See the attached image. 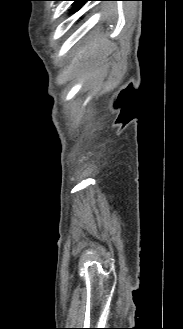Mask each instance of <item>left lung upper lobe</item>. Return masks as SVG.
I'll use <instances>...</instances> for the list:
<instances>
[{"label": "left lung upper lobe", "mask_w": 183, "mask_h": 329, "mask_svg": "<svg viewBox=\"0 0 183 329\" xmlns=\"http://www.w3.org/2000/svg\"><path fill=\"white\" fill-rule=\"evenodd\" d=\"M74 1L73 5L76 6L73 9H71L72 12H75L79 10V6L82 5L83 3L90 1V0H71Z\"/></svg>", "instance_id": "left-lung-upper-lobe-1"}]
</instances>
